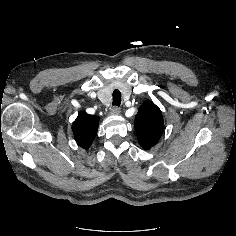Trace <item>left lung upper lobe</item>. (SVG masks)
Segmentation results:
<instances>
[{
	"label": "left lung upper lobe",
	"instance_id": "left-lung-upper-lobe-1",
	"mask_svg": "<svg viewBox=\"0 0 236 236\" xmlns=\"http://www.w3.org/2000/svg\"><path fill=\"white\" fill-rule=\"evenodd\" d=\"M136 134L140 145L148 150L161 138L164 121L160 109L147 100L135 116Z\"/></svg>",
	"mask_w": 236,
	"mask_h": 236
}]
</instances>
